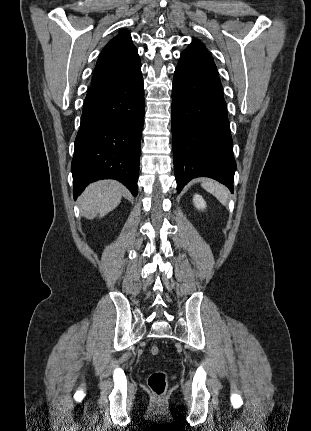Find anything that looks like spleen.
Listing matches in <instances>:
<instances>
[{
    "label": "spleen",
    "instance_id": "3e777b00",
    "mask_svg": "<svg viewBox=\"0 0 311 431\" xmlns=\"http://www.w3.org/2000/svg\"><path fill=\"white\" fill-rule=\"evenodd\" d=\"M201 186L204 190L213 194L221 204H225L226 206L228 202L227 188H224V186H222V184H218V182H214V180H205V182H202Z\"/></svg>",
    "mask_w": 311,
    "mask_h": 431
}]
</instances>
